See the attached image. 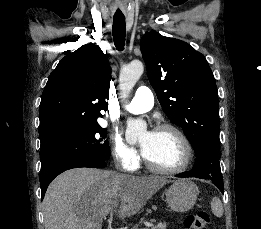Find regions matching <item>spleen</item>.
I'll list each match as a JSON object with an SVG mask.
<instances>
[{
    "label": "spleen",
    "mask_w": 261,
    "mask_h": 229,
    "mask_svg": "<svg viewBox=\"0 0 261 229\" xmlns=\"http://www.w3.org/2000/svg\"><path fill=\"white\" fill-rule=\"evenodd\" d=\"M211 211L215 217H223L224 209L218 197H214V199H212Z\"/></svg>",
    "instance_id": "spleen-1"
}]
</instances>
